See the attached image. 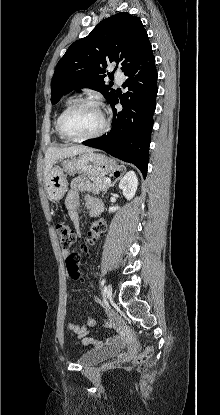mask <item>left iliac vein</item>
Instances as JSON below:
<instances>
[{
	"instance_id": "left-iliac-vein-1",
	"label": "left iliac vein",
	"mask_w": 220,
	"mask_h": 415,
	"mask_svg": "<svg viewBox=\"0 0 220 415\" xmlns=\"http://www.w3.org/2000/svg\"><path fill=\"white\" fill-rule=\"evenodd\" d=\"M112 293H113L112 286H111L110 284H108V285L106 286V288H105V295H106V298H107V299H111V297H112Z\"/></svg>"
}]
</instances>
